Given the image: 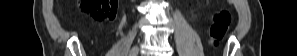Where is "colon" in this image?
Returning <instances> with one entry per match:
<instances>
[{
  "mask_svg": "<svg viewBox=\"0 0 297 56\" xmlns=\"http://www.w3.org/2000/svg\"><path fill=\"white\" fill-rule=\"evenodd\" d=\"M116 0H82L80 8L88 12L95 20L105 21L112 19L115 14ZM231 23V14L227 10H221L214 16L211 27V44L217 46L224 37Z\"/></svg>",
  "mask_w": 297,
  "mask_h": 56,
  "instance_id": "obj_1",
  "label": "colon"
}]
</instances>
